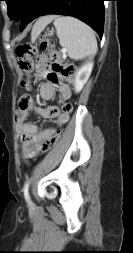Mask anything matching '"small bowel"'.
I'll list each match as a JSON object with an SVG mask.
<instances>
[{
  "label": "small bowel",
  "instance_id": "obj_1",
  "mask_svg": "<svg viewBox=\"0 0 133 253\" xmlns=\"http://www.w3.org/2000/svg\"><path fill=\"white\" fill-rule=\"evenodd\" d=\"M47 61H52V56L42 55L38 58L36 64V78L45 80L40 85V96L44 100H51L55 91H58L61 100L64 102L68 101L72 96L71 89L59 75H55L50 71ZM31 96V93H24L19 100V108L15 113L16 130L21 139L25 158L35 155L41 144L54 136L59 128L64 126L69 120V115L60 113L57 107L36 106ZM32 112L45 119L55 118V126L41 129L38 125L29 122Z\"/></svg>",
  "mask_w": 133,
  "mask_h": 253
}]
</instances>
